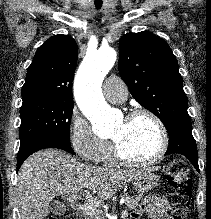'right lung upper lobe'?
Listing matches in <instances>:
<instances>
[{
	"mask_svg": "<svg viewBox=\"0 0 211 219\" xmlns=\"http://www.w3.org/2000/svg\"><path fill=\"white\" fill-rule=\"evenodd\" d=\"M78 58L76 41L55 35L40 46L22 87L23 101L48 98L73 102L72 81Z\"/></svg>",
	"mask_w": 211,
	"mask_h": 219,
	"instance_id": "obj_1",
	"label": "right lung upper lobe"
}]
</instances>
